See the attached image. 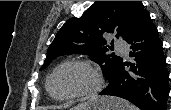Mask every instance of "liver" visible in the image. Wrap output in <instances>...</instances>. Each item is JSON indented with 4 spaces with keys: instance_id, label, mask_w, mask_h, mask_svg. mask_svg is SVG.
Segmentation results:
<instances>
[{
    "instance_id": "liver-1",
    "label": "liver",
    "mask_w": 171,
    "mask_h": 110,
    "mask_svg": "<svg viewBox=\"0 0 171 110\" xmlns=\"http://www.w3.org/2000/svg\"><path fill=\"white\" fill-rule=\"evenodd\" d=\"M104 101H106V100H104ZM120 106H124V103H120Z\"/></svg>"
}]
</instances>
